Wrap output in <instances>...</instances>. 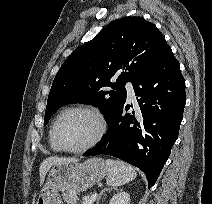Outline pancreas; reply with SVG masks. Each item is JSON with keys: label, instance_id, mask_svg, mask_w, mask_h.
<instances>
[{"label": "pancreas", "instance_id": "obj_1", "mask_svg": "<svg viewBox=\"0 0 212 204\" xmlns=\"http://www.w3.org/2000/svg\"><path fill=\"white\" fill-rule=\"evenodd\" d=\"M63 199L67 204H77V193L72 190H67L62 193Z\"/></svg>", "mask_w": 212, "mask_h": 204}]
</instances>
